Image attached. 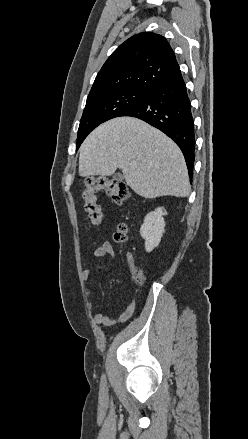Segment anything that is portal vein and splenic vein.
Segmentation results:
<instances>
[{"mask_svg": "<svg viewBox=\"0 0 248 439\" xmlns=\"http://www.w3.org/2000/svg\"><path fill=\"white\" fill-rule=\"evenodd\" d=\"M133 165H136V163H135V162H133Z\"/></svg>", "mask_w": 248, "mask_h": 439, "instance_id": "obj_1", "label": "portal vein and splenic vein"}]
</instances>
